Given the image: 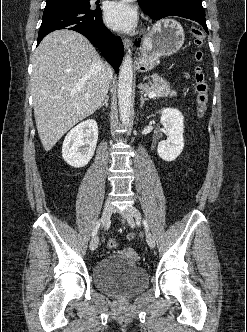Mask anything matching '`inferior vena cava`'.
I'll use <instances>...</instances> for the list:
<instances>
[{
	"instance_id": "inferior-vena-cava-1",
	"label": "inferior vena cava",
	"mask_w": 247,
	"mask_h": 332,
	"mask_svg": "<svg viewBox=\"0 0 247 332\" xmlns=\"http://www.w3.org/2000/svg\"><path fill=\"white\" fill-rule=\"evenodd\" d=\"M107 72H108V78L111 80L112 79V70L109 66H107Z\"/></svg>"
}]
</instances>
